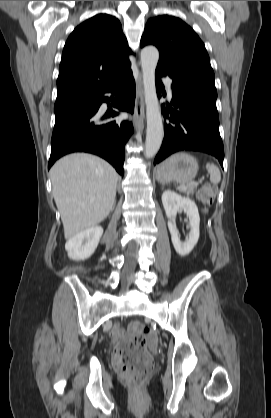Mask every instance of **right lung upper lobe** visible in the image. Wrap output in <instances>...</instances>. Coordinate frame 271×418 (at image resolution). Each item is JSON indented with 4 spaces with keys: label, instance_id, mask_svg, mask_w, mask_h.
Here are the masks:
<instances>
[{
    "label": "right lung upper lobe",
    "instance_id": "obj_1",
    "mask_svg": "<svg viewBox=\"0 0 271 418\" xmlns=\"http://www.w3.org/2000/svg\"><path fill=\"white\" fill-rule=\"evenodd\" d=\"M127 39L118 19L98 14L77 26L66 41L56 103L97 97L130 69Z\"/></svg>",
    "mask_w": 271,
    "mask_h": 418
}]
</instances>
